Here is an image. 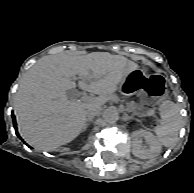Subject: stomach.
Here are the masks:
<instances>
[{
	"instance_id": "obj_1",
	"label": "stomach",
	"mask_w": 194,
	"mask_h": 193,
	"mask_svg": "<svg viewBox=\"0 0 194 193\" xmlns=\"http://www.w3.org/2000/svg\"><path fill=\"white\" fill-rule=\"evenodd\" d=\"M121 87L129 94H138L146 105H157L168 95L167 82L162 75H147L138 69L126 76Z\"/></svg>"
}]
</instances>
